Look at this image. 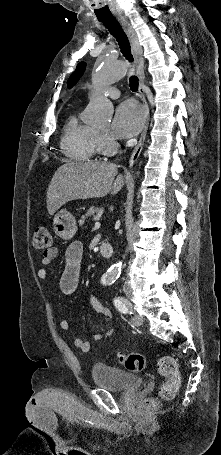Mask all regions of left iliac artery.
I'll return each mask as SVG.
<instances>
[{"label":"left iliac artery","instance_id":"44dca946","mask_svg":"<svg viewBox=\"0 0 221 455\" xmlns=\"http://www.w3.org/2000/svg\"><path fill=\"white\" fill-rule=\"evenodd\" d=\"M113 302L120 312L132 314L131 303L126 298L118 296L114 298Z\"/></svg>","mask_w":221,"mask_h":455}]
</instances>
